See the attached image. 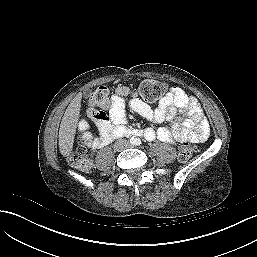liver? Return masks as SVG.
<instances>
[{
	"label": "liver",
	"instance_id": "liver-1",
	"mask_svg": "<svg viewBox=\"0 0 257 257\" xmlns=\"http://www.w3.org/2000/svg\"><path fill=\"white\" fill-rule=\"evenodd\" d=\"M82 94H77L68 105L59 129V151L67 157L73 149L76 128L80 116Z\"/></svg>",
	"mask_w": 257,
	"mask_h": 257
}]
</instances>
